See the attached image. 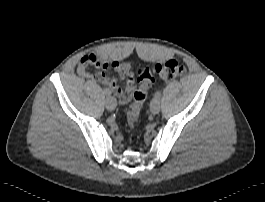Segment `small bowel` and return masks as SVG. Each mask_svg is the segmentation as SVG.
Instances as JSON below:
<instances>
[{
    "mask_svg": "<svg viewBox=\"0 0 265 202\" xmlns=\"http://www.w3.org/2000/svg\"><path fill=\"white\" fill-rule=\"evenodd\" d=\"M91 67H97L102 71L93 73L90 71ZM107 70L116 72L119 79L109 77L106 74ZM77 73L90 81L105 85L109 93L116 95L121 103L130 101L135 92V78L132 67L128 63L110 61L101 55L90 53L81 57ZM119 80L123 83L120 84Z\"/></svg>",
    "mask_w": 265,
    "mask_h": 202,
    "instance_id": "1",
    "label": "small bowel"
}]
</instances>
